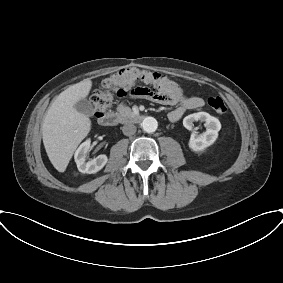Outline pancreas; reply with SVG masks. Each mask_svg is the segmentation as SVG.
Listing matches in <instances>:
<instances>
[{
  "mask_svg": "<svg viewBox=\"0 0 283 283\" xmlns=\"http://www.w3.org/2000/svg\"><path fill=\"white\" fill-rule=\"evenodd\" d=\"M118 114L122 117H127L133 114V112L131 111V109L128 106H125L123 104L118 105V107L116 108Z\"/></svg>",
  "mask_w": 283,
  "mask_h": 283,
  "instance_id": "cf45deb5",
  "label": "pancreas"
}]
</instances>
